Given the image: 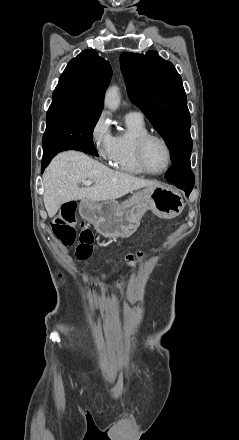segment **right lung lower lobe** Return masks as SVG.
<instances>
[{
  "label": "right lung lower lobe",
  "instance_id": "1",
  "mask_svg": "<svg viewBox=\"0 0 239 440\" xmlns=\"http://www.w3.org/2000/svg\"><path fill=\"white\" fill-rule=\"evenodd\" d=\"M64 150H78V151H82L85 152L87 154L90 155H94V156H98L97 150L93 145L87 144V143H83V142H72L67 144L64 147H61L53 152L47 153V154H43V160H42V172L44 171V169L47 167V165L50 163L51 159L59 152L64 151Z\"/></svg>",
  "mask_w": 239,
  "mask_h": 440
}]
</instances>
